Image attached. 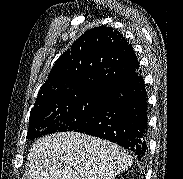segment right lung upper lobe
Here are the masks:
<instances>
[{
	"label": "right lung upper lobe",
	"mask_w": 183,
	"mask_h": 179,
	"mask_svg": "<svg viewBox=\"0 0 183 179\" xmlns=\"http://www.w3.org/2000/svg\"><path fill=\"white\" fill-rule=\"evenodd\" d=\"M139 70L132 45L118 31L100 26L85 32L56 61L41 86L34 106L58 98L101 94L118 80Z\"/></svg>",
	"instance_id": "right-lung-upper-lobe-1"
}]
</instances>
